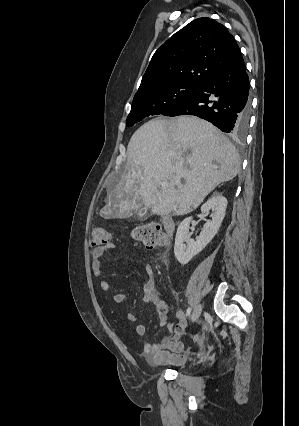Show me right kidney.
<instances>
[{"mask_svg":"<svg viewBox=\"0 0 299 426\" xmlns=\"http://www.w3.org/2000/svg\"><path fill=\"white\" fill-rule=\"evenodd\" d=\"M227 199L221 194H213L207 202L201 206V216L212 211V220L205 223L196 241L190 238L189 228L192 217L184 219L178 226L174 254L182 265L187 264L195 255L201 252L217 234L225 217Z\"/></svg>","mask_w":299,"mask_h":426,"instance_id":"right-kidney-1","label":"right kidney"}]
</instances>
